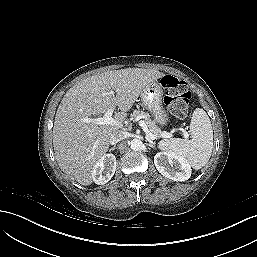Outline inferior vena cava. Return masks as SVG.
I'll list each match as a JSON object with an SVG mask.
<instances>
[{"instance_id": "1", "label": "inferior vena cava", "mask_w": 257, "mask_h": 257, "mask_svg": "<svg viewBox=\"0 0 257 257\" xmlns=\"http://www.w3.org/2000/svg\"><path fill=\"white\" fill-rule=\"evenodd\" d=\"M125 138H126V133L123 131H118L111 135L110 144L112 145L117 144L118 142L124 140Z\"/></svg>"}]
</instances>
